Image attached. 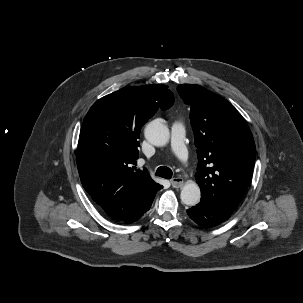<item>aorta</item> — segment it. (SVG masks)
<instances>
[{"mask_svg":"<svg viewBox=\"0 0 303 303\" xmlns=\"http://www.w3.org/2000/svg\"><path fill=\"white\" fill-rule=\"evenodd\" d=\"M145 138L155 146H164L168 143L170 133L168 127L161 121L154 120L149 122L145 127ZM181 201L189 206L199 203L201 192L199 186L194 182L186 183L180 194Z\"/></svg>","mask_w":303,"mask_h":303,"instance_id":"obj_1","label":"aorta"}]
</instances>
